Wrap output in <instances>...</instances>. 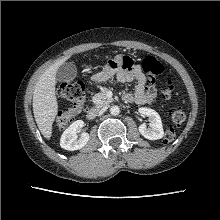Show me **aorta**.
<instances>
[{"label":"aorta","mask_w":220,"mask_h":220,"mask_svg":"<svg viewBox=\"0 0 220 220\" xmlns=\"http://www.w3.org/2000/svg\"><path fill=\"white\" fill-rule=\"evenodd\" d=\"M110 113H111V115L116 116V115H118L120 113V108L118 106H116V105L112 106L110 108Z\"/></svg>","instance_id":"aorta-1"}]
</instances>
